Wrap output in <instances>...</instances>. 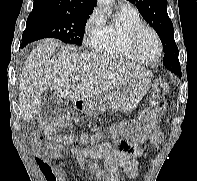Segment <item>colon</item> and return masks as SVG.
Returning a JSON list of instances; mask_svg holds the SVG:
<instances>
[{
  "label": "colon",
  "instance_id": "colon-1",
  "mask_svg": "<svg viewBox=\"0 0 197 181\" xmlns=\"http://www.w3.org/2000/svg\"><path fill=\"white\" fill-rule=\"evenodd\" d=\"M169 91L168 83L165 79L159 78L154 82L150 95L151 109L140 114L137 120L132 122L133 138L135 141L141 140L146 134L153 131L156 126L157 119L163 116L167 109L166 95ZM70 120L68 113H62L54 117L44 127L45 134L51 135L55 130L67 126ZM40 139L39 135H36ZM121 148L124 151H130L129 143L121 140Z\"/></svg>",
  "mask_w": 197,
  "mask_h": 181
}]
</instances>
